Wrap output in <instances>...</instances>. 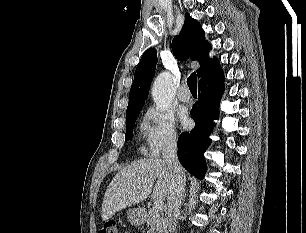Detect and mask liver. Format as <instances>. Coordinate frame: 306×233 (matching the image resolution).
I'll list each match as a JSON object with an SVG mask.
<instances>
[{"label": "liver", "mask_w": 306, "mask_h": 233, "mask_svg": "<svg viewBox=\"0 0 306 233\" xmlns=\"http://www.w3.org/2000/svg\"><path fill=\"white\" fill-rule=\"evenodd\" d=\"M170 185L171 171L164 160L147 158L131 163L121 169L109 184L102 203V220L138 204L151 193L153 199H165Z\"/></svg>", "instance_id": "6515ba94"}]
</instances>
